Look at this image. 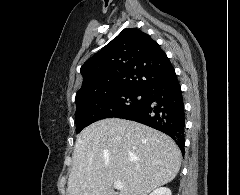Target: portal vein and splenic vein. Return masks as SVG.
<instances>
[{
    "mask_svg": "<svg viewBox=\"0 0 240 195\" xmlns=\"http://www.w3.org/2000/svg\"><path fill=\"white\" fill-rule=\"evenodd\" d=\"M113 185H114L115 189H123L122 181H114Z\"/></svg>",
    "mask_w": 240,
    "mask_h": 195,
    "instance_id": "1",
    "label": "portal vein and splenic vein"
}]
</instances>
